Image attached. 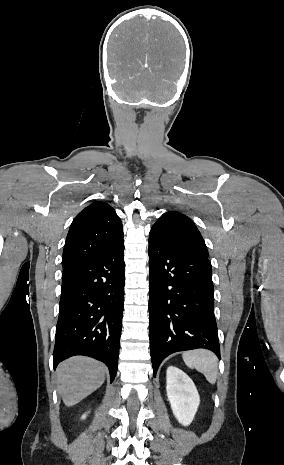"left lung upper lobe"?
Returning a JSON list of instances; mask_svg holds the SVG:
<instances>
[{
	"label": "left lung upper lobe",
	"instance_id": "left-lung-upper-lobe-1",
	"mask_svg": "<svg viewBox=\"0 0 284 465\" xmlns=\"http://www.w3.org/2000/svg\"><path fill=\"white\" fill-rule=\"evenodd\" d=\"M150 234L178 248L208 257V250L199 230L189 217L180 212L164 213L153 225Z\"/></svg>",
	"mask_w": 284,
	"mask_h": 465
}]
</instances>
